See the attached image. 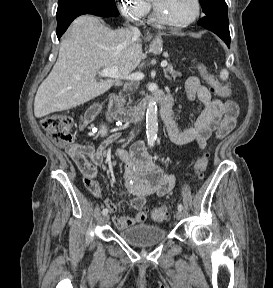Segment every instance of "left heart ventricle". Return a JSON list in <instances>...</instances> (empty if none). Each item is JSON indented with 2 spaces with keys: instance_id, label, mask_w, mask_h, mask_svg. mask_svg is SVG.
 <instances>
[{
  "instance_id": "obj_1",
  "label": "left heart ventricle",
  "mask_w": 273,
  "mask_h": 288,
  "mask_svg": "<svg viewBox=\"0 0 273 288\" xmlns=\"http://www.w3.org/2000/svg\"><path fill=\"white\" fill-rule=\"evenodd\" d=\"M164 17L172 21H185L195 11L194 0H153Z\"/></svg>"
}]
</instances>
